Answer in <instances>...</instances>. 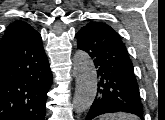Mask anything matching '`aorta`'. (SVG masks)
I'll use <instances>...</instances> for the list:
<instances>
[{
    "instance_id": "762f6f07",
    "label": "aorta",
    "mask_w": 165,
    "mask_h": 120,
    "mask_svg": "<svg viewBox=\"0 0 165 120\" xmlns=\"http://www.w3.org/2000/svg\"><path fill=\"white\" fill-rule=\"evenodd\" d=\"M73 71L76 79L73 105L76 112L86 111L92 105L97 93V72L91 57L78 50L73 57Z\"/></svg>"
}]
</instances>
